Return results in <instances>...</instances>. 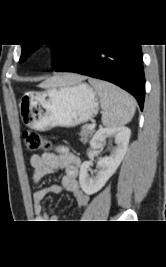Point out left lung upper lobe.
Wrapping results in <instances>:
<instances>
[{"instance_id":"obj_1","label":"left lung upper lobe","mask_w":166,"mask_h":267,"mask_svg":"<svg viewBox=\"0 0 166 267\" xmlns=\"http://www.w3.org/2000/svg\"><path fill=\"white\" fill-rule=\"evenodd\" d=\"M22 46V54H21V58H20V62L25 61L30 54L34 51L35 46H39V45H21ZM67 45H55L54 49H53V56H54V63L53 66H55L59 60L62 57V54L65 50Z\"/></svg>"}]
</instances>
